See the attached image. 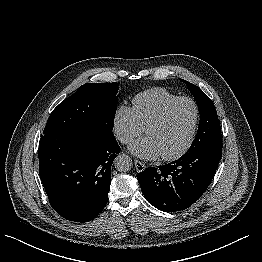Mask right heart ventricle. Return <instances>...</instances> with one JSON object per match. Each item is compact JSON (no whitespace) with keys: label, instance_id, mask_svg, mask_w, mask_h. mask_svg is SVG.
Masks as SVG:
<instances>
[{"label":"right heart ventricle","instance_id":"obj_1","mask_svg":"<svg viewBox=\"0 0 262 262\" xmlns=\"http://www.w3.org/2000/svg\"><path fill=\"white\" fill-rule=\"evenodd\" d=\"M178 98L165 88L157 87L138 93L132 99V109L143 128L158 115L169 102Z\"/></svg>","mask_w":262,"mask_h":262}]
</instances>
